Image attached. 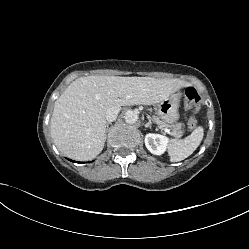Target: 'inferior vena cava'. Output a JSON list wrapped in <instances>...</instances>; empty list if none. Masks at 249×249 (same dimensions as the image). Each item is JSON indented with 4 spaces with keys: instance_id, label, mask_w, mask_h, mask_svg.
<instances>
[{
    "instance_id": "inferior-vena-cava-1",
    "label": "inferior vena cava",
    "mask_w": 249,
    "mask_h": 249,
    "mask_svg": "<svg viewBox=\"0 0 249 249\" xmlns=\"http://www.w3.org/2000/svg\"><path fill=\"white\" fill-rule=\"evenodd\" d=\"M121 110V107L120 106H113L111 108H109L107 111H106V120L108 122H112V121H115L117 116H118V113L120 112Z\"/></svg>"
}]
</instances>
